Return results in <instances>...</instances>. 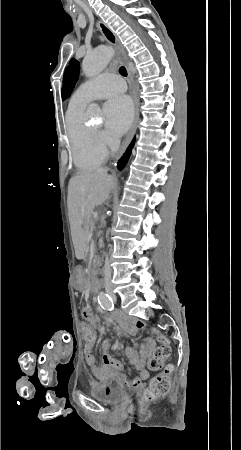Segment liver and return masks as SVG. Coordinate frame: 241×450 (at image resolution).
I'll return each mask as SVG.
<instances>
[{"label": "liver", "mask_w": 241, "mask_h": 450, "mask_svg": "<svg viewBox=\"0 0 241 450\" xmlns=\"http://www.w3.org/2000/svg\"><path fill=\"white\" fill-rule=\"evenodd\" d=\"M107 172L103 168L94 172H77L69 182V214L76 252L85 246L82 226H89L95 206H101L115 186V178Z\"/></svg>", "instance_id": "6515ba94"}]
</instances>
